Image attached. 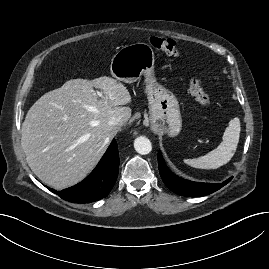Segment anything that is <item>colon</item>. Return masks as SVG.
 I'll use <instances>...</instances> for the list:
<instances>
[{"instance_id":"1","label":"colon","mask_w":269,"mask_h":269,"mask_svg":"<svg viewBox=\"0 0 269 269\" xmlns=\"http://www.w3.org/2000/svg\"><path fill=\"white\" fill-rule=\"evenodd\" d=\"M149 42L150 45L157 51H161L173 57L179 55V47L173 39L152 37L150 38ZM189 92L200 105L208 106L210 104V97L197 78H191L189 80Z\"/></svg>"}]
</instances>
